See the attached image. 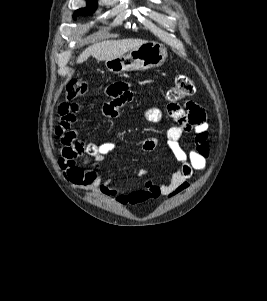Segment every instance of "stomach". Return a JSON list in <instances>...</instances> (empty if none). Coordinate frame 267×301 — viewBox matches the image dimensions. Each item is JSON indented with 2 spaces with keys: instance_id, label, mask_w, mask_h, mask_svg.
Returning <instances> with one entry per match:
<instances>
[{
  "instance_id": "obj_1",
  "label": "stomach",
  "mask_w": 267,
  "mask_h": 301,
  "mask_svg": "<svg viewBox=\"0 0 267 301\" xmlns=\"http://www.w3.org/2000/svg\"><path fill=\"white\" fill-rule=\"evenodd\" d=\"M167 49L156 42H146L133 48L127 55L105 62L108 71L120 74L128 71L148 70L160 67L167 58Z\"/></svg>"
}]
</instances>
